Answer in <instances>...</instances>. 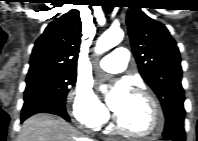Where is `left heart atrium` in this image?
Here are the masks:
<instances>
[{
	"mask_svg": "<svg viewBox=\"0 0 198 141\" xmlns=\"http://www.w3.org/2000/svg\"><path fill=\"white\" fill-rule=\"evenodd\" d=\"M103 90H106L105 87H103ZM130 96L131 92L128 83L126 81H120L117 82L110 91L107 102L109 107L114 112L118 113Z\"/></svg>",
	"mask_w": 198,
	"mask_h": 141,
	"instance_id": "39dd6f15",
	"label": "left heart atrium"
}]
</instances>
